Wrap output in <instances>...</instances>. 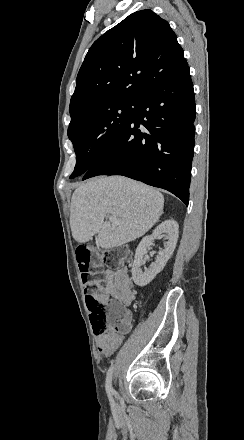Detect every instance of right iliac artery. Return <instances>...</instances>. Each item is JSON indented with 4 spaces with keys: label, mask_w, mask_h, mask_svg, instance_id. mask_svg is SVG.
Wrapping results in <instances>:
<instances>
[{
    "label": "right iliac artery",
    "mask_w": 244,
    "mask_h": 440,
    "mask_svg": "<svg viewBox=\"0 0 244 440\" xmlns=\"http://www.w3.org/2000/svg\"><path fill=\"white\" fill-rule=\"evenodd\" d=\"M113 365H111V367L108 369L107 372V377H106V384H105V388H106V392L108 394L110 403L112 406L115 405L112 394L114 393V389L112 387V376H113Z\"/></svg>",
    "instance_id": "obj_1"
}]
</instances>
